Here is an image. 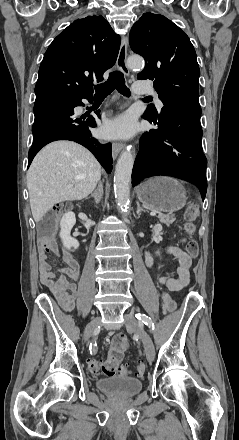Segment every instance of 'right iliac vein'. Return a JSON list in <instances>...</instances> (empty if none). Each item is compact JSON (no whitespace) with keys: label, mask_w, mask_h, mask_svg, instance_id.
I'll return each instance as SVG.
<instances>
[{"label":"right iliac vein","mask_w":239,"mask_h":440,"mask_svg":"<svg viewBox=\"0 0 239 440\" xmlns=\"http://www.w3.org/2000/svg\"><path fill=\"white\" fill-rule=\"evenodd\" d=\"M99 323V318H93L86 326L84 331V340L88 341L94 330L96 329L97 325Z\"/></svg>","instance_id":"1"}]
</instances>
